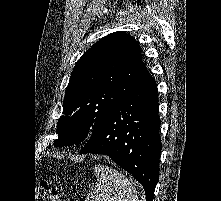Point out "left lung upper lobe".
<instances>
[{
  "label": "left lung upper lobe",
  "instance_id": "left-lung-upper-lobe-1",
  "mask_svg": "<svg viewBox=\"0 0 221 201\" xmlns=\"http://www.w3.org/2000/svg\"><path fill=\"white\" fill-rule=\"evenodd\" d=\"M150 77L133 37L119 31L102 38L72 71L54 146L89 138L113 107Z\"/></svg>",
  "mask_w": 221,
  "mask_h": 201
}]
</instances>
